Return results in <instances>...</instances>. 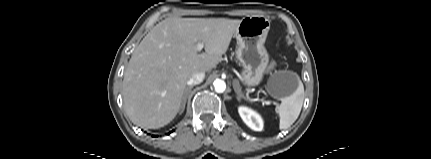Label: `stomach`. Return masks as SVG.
Masks as SVG:
<instances>
[{"mask_svg":"<svg viewBox=\"0 0 431 159\" xmlns=\"http://www.w3.org/2000/svg\"><path fill=\"white\" fill-rule=\"evenodd\" d=\"M270 29V21L264 16L244 17L238 25L234 37L237 40L236 56L243 66L242 81L247 86H257L263 79L269 62L264 43ZM300 79L290 71L271 74L267 82L268 93L283 100L297 91Z\"/></svg>","mask_w":431,"mask_h":159,"instance_id":"stomach-1","label":"stomach"}]
</instances>
